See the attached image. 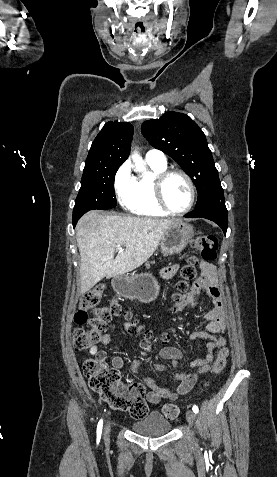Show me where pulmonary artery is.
<instances>
[{
  "instance_id": "1",
  "label": "pulmonary artery",
  "mask_w": 277,
  "mask_h": 477,
  "mask_svg": "<svg viewBox=\"0 0 277 477\" xmlns=\"http://www.w3.org/2000/svg\"><path fill=\"white\" fill-rule=\"evenodd\" d=\"M145 159L147 162L156 163L160 165H166V157L164 153L160 150H156V149L149 150L145 155Z\"/></svg>"
}]
</instances>
